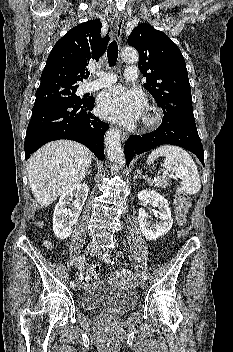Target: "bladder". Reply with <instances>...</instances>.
Here are the masks:
<instances>
[{
  "label": "bladder",
  "instance_id": "bladder-1",
  "mask_svg": "<svg viewBox=\"0 0 233 352\" xmlns=\"http://www.w3.org/2000/svg\"><path fill=\"white\" fill-rule=\"evenodd\" d=\"M137 297L131 290L114 287L107 282L91 285L82 298L86 310H102L112 314H123L136 306Z\"/></svg>",
  "mask_w": 233,
  "mask_h": 352
}]
</instances>
